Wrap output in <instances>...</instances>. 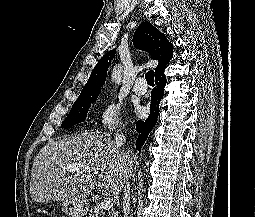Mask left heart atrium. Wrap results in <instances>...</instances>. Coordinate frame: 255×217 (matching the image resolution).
<instances>
[{"mask_svg":"<svg viewBox=\"0 0 255 217\" xmlns=\"http://www.w3.org/2000/svg\"><path fill=\"white\" fill-rule=\"evenodd\" d=\"M137 112H138V113H141V110H140V109H138V110H137Z\"/></svg>","mask_w":255,"mask_h":217,"instance_id":"1","label":"left heart atrium"}]
</instances>
